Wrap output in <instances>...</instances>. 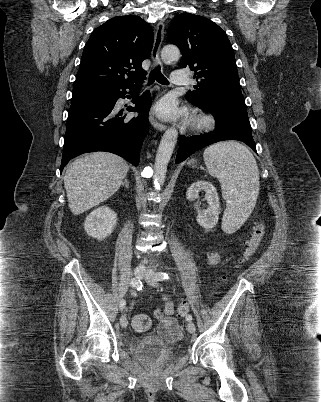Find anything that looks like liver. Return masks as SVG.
Wrapping results in <instances>:
<instances>
[{
    "label": "liver",
    "instance_id": "liver-1",
    "mask_svg": "<svg viewBox=\"0 0 321 402\" xmlns=\"http://www.w3.org/2000/svg\"><path fill=\"white\" fill-rule=\"evenodd\" d=\"M128 170L124 159L107 152H94L75 160L64 176L71 212L82 214L111 197Z\"/></svg>",
    "mask_w": 321,
    "mask_h": 402
}]
</instances>
